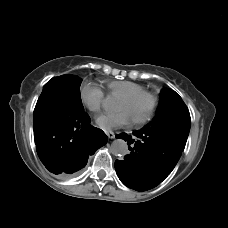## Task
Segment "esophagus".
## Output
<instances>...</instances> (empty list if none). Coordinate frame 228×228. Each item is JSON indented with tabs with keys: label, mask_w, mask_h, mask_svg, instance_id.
<instances>
[{
	"label": "esophagus",
	"mask_w": 228,
	"mask_h": 228,
	"mask_svg": "<svg viewBox=\"0 0 228 228\" xmlns=\"http://www.w3.org/2000/svg\"><path fill=\"white\" fill-rule=\"evenodd\" d=\"M105 133L107 134V136H108L109 138H115V134H114L113 132L106 131Z\"/></svg>",
	"instance_id": "1"
}]
</instances>
